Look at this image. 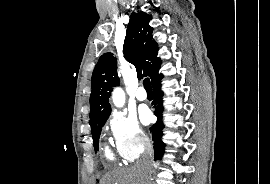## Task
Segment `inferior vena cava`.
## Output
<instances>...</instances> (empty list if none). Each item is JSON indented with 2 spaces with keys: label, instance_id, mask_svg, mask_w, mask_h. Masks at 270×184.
I'll list each match as a JSON object with an SVG mask.
<instances>
[{
  "label": "inferior vena cava",
  "instance_id": "obj_1",
  "mask_svg": "<svg viewBox=\"0 0 270 184\" xmlns=\"http://www.w3.org/2000/svg\"><path fill=\"white\" fill-rule=\"evenodd\" d=\"M144 151L141 159L137 162V167L149 172L152 170V158H153V147L148 139L143 140Z\"/></svg>",
  "mask_w": 270,
  "mask_h": 184
}]
</instances>
